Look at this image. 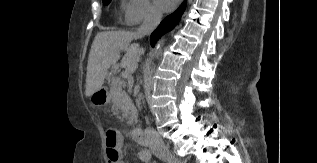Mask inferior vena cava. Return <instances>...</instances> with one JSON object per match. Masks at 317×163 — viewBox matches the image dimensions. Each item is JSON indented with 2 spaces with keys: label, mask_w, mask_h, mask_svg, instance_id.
I'll list each match as a JSON object with an SVG mask.
<instances>
[{
  "label": "inferior vena cava",
  "mask_w": 317,
  "mask_h": 163,
  "mask_svg": "<svg viewBox=\"0 0 317 163\" xmlns=\"http://www.w3.org/2000/svg\"><path fill=\"white\" fill-rule=\"evenodd\" d=\"M162 19L161 13L151 10L145 16L143 24L138 28L137 35L141 38L145 35H150L160 24ZM146 142L149 145L151 152L164 159L168 155V149L165 146L160 135L152 128H146L144 131Z\"/></svg>",
  "instance_id": "1"
}]
</instances>
